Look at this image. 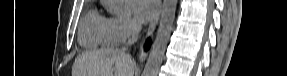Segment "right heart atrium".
I'll return each instance as SVG.
<instances>
[{"instance_id":"obj_1","label":"right heart atrium","mask_w":287,"mask_h":76,"mask_svg":"<svg viewBox=\"0 0 287 76\" xmlns=\"http://www.w3.org/2000/svg\"><path fill=\"white\" fill-rule=\"evenodd\" d=\"M137 29V23L129 16H114L109 19V32L114 43L126 41Z\"/></svg>"}]
</instances>
